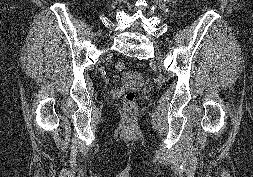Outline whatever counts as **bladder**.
Wrapping results in <instances>:
<instances>
[{
    "mask_svg": "<svg viewBox=\"0 0 253 177\" xmlns=\"http://www.w3.org/2000/svg\"><path fill=\"white\" fill-rule=\"evenodd\" d=\"M121 82L124 85L136 87V86H140L143 83V77L137 71H127L122 76Z\"/></svg>",
    "mask_w": 253,
    "mask_h": 177,
    "instance_id": "31cf9c89",
    "label": "bladder"
}]
</instances>
